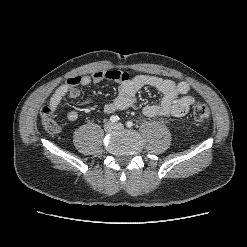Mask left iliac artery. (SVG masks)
<instances>
[{
  "mask_svg": "<svg viewBox=\"0 0 247 247\" xmlns=\"http://www.w3.org/2000/svg\"><path fill=\"white\" fill-rule=\"evenodd\" d=\"M126 126L131 128L133 126V122L132 121H128L126 122Z\"/></svg>",
  "mask_w": 247,
  "mask_h": 247,
  "instance_id": "left-iliac-artery-1",
  "label": "left iliac artery"
}]
</instances>
